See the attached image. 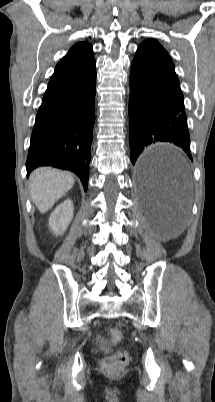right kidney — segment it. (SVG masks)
<instances>
[{
    "label": "right kidney",
    "instance_id": "1",
    "mask_svg": "<svg viewBox=\"0 0 215 402\" xmlns=\"http://www.w3.org/2000/svg\"><path fill=\"white\" fill-rule=\"evenodd\" d=\"M74 207L70 199L59 204L49 218V228L55 235H62L73 218Z\"/></svg>",
    "mask_w": 215,
    "mask_h": 402
}]
</instances>
